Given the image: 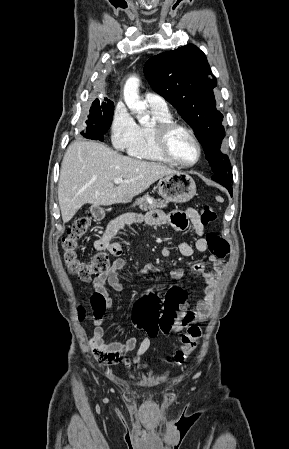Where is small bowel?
<instances>
[{
	"instance_id": "c3829d8e",
	"label": "small bowel",
	"mask_w": 289,
	"mask_h": 449,
	"mask_svg": "<svg viewBox=\"0 0 289 449\" xmlns=\"http://www.w3.org/2000/svg\"><path fill=\"white\" fill-rule=\"evenodd\" d=\"M137 219H143L149 225L170 224L176 230H184L188 224H191L196 238L195 246L186 241L182 242L179 245V252L184 257H191L195 250L204 252L208 249V243L204 237L205 224L201 221L198 212L192 208H188L185 211H172L169 214L162 211H150L142 218ZM135 220V217H131L129 219H118L110 222L102 236L94 242V247L97 250H107L111 255L116 257L112 265L93 280L95 292L103 296L105 299V308L107 309L112 306V298L106 289V284L115 291H122L123 282L119 277V273L126 265L125 259L120 257L122 253V244L113 241V237L124 224ZM161 255L163 257H169L171 255L170 248L163 247L161 249ZM209 261L212 264L211 270H207L203 262H197L191 266L190 273L201 276L204 280V296L197 302L195 308L192 310H189L184 303L180 306L178 319L173 329L175 332H181L191 324L203 322L211 315L214 290L220 275L226 267V262L224 259H218L214 256H210ZM152 270V265H145L142 272L148 273ZM185 275V270L181 268L173 269L170 272L171 278L175 280L182 279ZM103 323L104 317L102 315L94 321L95 328L89 342L94 356L103 364L110 365L123 362L130 365L131 362L125 357V354L137 347L136 354L132 360V363L136 364L139 358L149 349L151 340L148 335H146L139 343L136 337H130L124 342H105V331L102 327Z\"/></svg>"
}]
</instances>
